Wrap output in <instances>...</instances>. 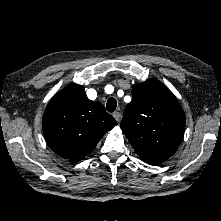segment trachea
Wrapping results in <instances>:
<instances>
[{
	"instance_id": "trachea-1",
	"label": "trachea",
	"mask_w": 221,
	"mask_h": 221,
	"mask_svg": "<svg viewBox=\"0 0 221 221\" xmlns=\"http://www.w3.org/2000/svg\"><path fill=\"white\" fill-rule=\"evenodd\" d=\"M116 107H117L116 99L115 98H109L108 101H107V105H106L107 111L108 112H114L116 110Z\"/></svg>"
}]
</instances>
